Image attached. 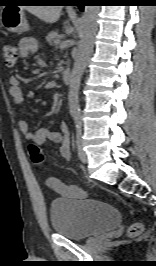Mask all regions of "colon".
Returning a JSON list of instances; mask_svg holds the SVG:
<instances>
[{"label": "colon", "mask_w": 156, "mask_h": 266, "mask_svg": "<svg viewBox=\"0 0 156 266\" xmlns=\"http://www.w3.org/2000/svg\"><path fill=\"white\" fill-rule=\"evenodd\" d=\"M3 57L7 65L12 66L18 57V49L12 44H7L3 48ZM29 154L32 163L38 167L42 168L44 164V156L38 145L31 143L28 146ZM143 230V225L139 222L132 224L127 231L128 236L135 237L139 235Z\"/></svg>", "instance_id": "colon-1"}]
</instances>
